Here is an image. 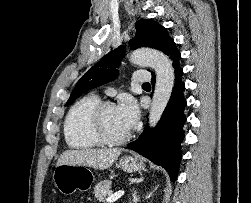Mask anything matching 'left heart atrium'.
<instances>
[{"label": "left heart atrium", "instance_id": "left-heart-atrium-1", "mask_svg": "<svg viewBox=\"0 0 251 203\" xmlns=\"http://www.w3.org/2000/svg\"><path fill=\"white\" fill-rule=\"evenodd\" d=\"M117 114L123 125L132 129L139 119V109L135 99L129 95L121 97L116 106Z\"/></svg>", "mask_w": 251, "mask_h": 203}]
</instances>
